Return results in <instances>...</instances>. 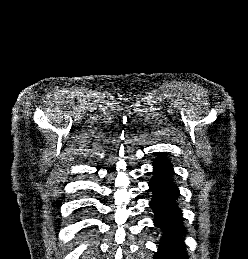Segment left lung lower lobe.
I'll return each instance as SVG.
<instances>
[{
	"label": "left lung lower lobe",
	"mask_w": 248,
	"mask_h": 259,
	"mask_svg": "<svg viewBox=\"0 0 248 259\" xmlns=\"http://www.w3.org/2000/svg\"><path fill=\"white\" fill-rule=\"evenodd\" d=\"M154 177L149 183L153 192L150 206L155 213L154 224L161 227L164 235L155 259H188L181 234L185 232L182 226V214L175 200L179 190L172 180L173 168L164 156H158L154 162Z\"/></svg>",
	"instance_id": "left-lung-lower-lobe-1"
}]
</instances>
